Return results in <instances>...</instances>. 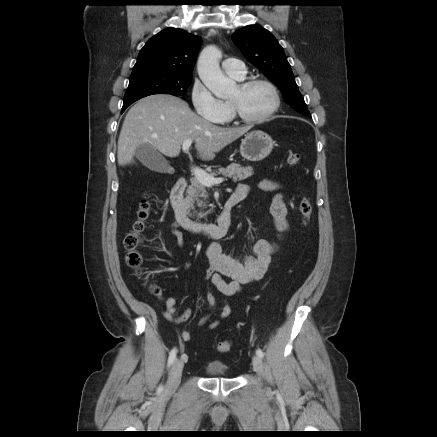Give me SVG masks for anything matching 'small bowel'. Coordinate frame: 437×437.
<instances>
[{
    "instance_id": "c3829d8e",
    "label": "small bowel",
    "mask_w": 437,
    "mask_h": 437,
    "mask_svg": "<svg viewBox=\"0 0 437 437\" xmlns=\"http://www.w3.org/2000/svg\"><path fill=\"white\" fill-rule=\"evenodd\" d=\"M260 188L264 191H274L280 188V185L272 180H263L260 183ZM249 192V186L240 184L234 194L244 199ZM271 214L274 218L276 229L279 233H284L288 229L286 220L287 207L281 193L275 195L271 204ZM172 234L176 238L177 245H183V236L179 230V225L174 222L172 225ZM276 250V245L265 240L259 239L253 242L250 246V252L243 258L237 259L227 254H224L217 244L209 246L206 252L208 268L206 271V280L209 286L217 289L224 298L218 303L211 292L210 288L206 294L208 305L215 309L221 308L220 319L227 318L231 313L229 298L238 293L242 286L261 279L271 262V257ZM224 277L231 280L226 281ZM166 309L164 316L175 323L186 322L192 314L191 309H186L183 313L178 314L176 310V299L169 297L165 301ZM210 315H205L199 322L200 326H204ZM220 320H215L209 324V329H215L219 326ZM181 338L184 341L190 339V333L186 330L181 331Z\"/></svg>"
}]
</instances>
